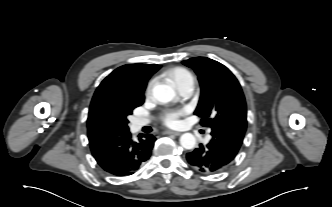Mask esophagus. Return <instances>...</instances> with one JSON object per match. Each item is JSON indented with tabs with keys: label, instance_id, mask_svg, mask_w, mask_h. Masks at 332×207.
Returning <instances> with one entry per match:
<instances>
[{
	"label": "esophagus",
	"instance_id": "esophagus-1",
	"mask_svg": "<svg viewBox=\"0 0 332 207\" xmlns=\"http://www.w3.org/2000/svg\"><path fill=\"white\" fill-rule=\"evenodd\" d=\"M163 133L166 135H176V136H179L181 134L180 132H176V131H172V130H165Z\"/></svg>",
	"mask_w": 332,
	"mask_h": 207
}]
</instances>
